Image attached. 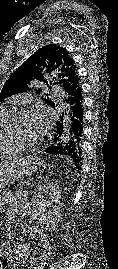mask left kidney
I'll return each mask as SVG.
<instances>
[{
    "label": "left kidney",
    "instance_id": "5707ae66",
    "mask_svg": "<svg viewBox=\"0 0 118 269\" xmlns=\"http://www.w3.org/2000/svg\"><path fill=\"white\" fill-rule=\"evenodd\" d=\"M48 197L49 200H46ZM61 191L58 182L38 184L32 199V213L41 228L53 231L61 217Z\"/></svg>",
    "mask_w": 118,
    "mask_h": 269
}]
</instances>
